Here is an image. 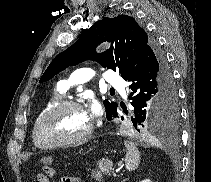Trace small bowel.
Returning a JSON list of instances; mask_svg holds the SVG:
<instances>
[{
  "label": "small bowel",
  "instance_id": "c3829d8e",
  "mask_svg": "<svg viewBox=\"0 0 211 182\" xmlns=\"http://www.w3.org/2000/svg\"><path fill=\"white\" fill-rule=\"evenodd\" d=\"M47 182V181H46ZM60 182H80L78 178L75 177H68L63 178Z\"/></svg>",
  "mask_w": 211,
  "mask_h": 182
}]
</instances>
